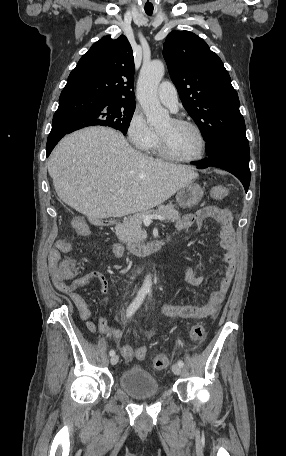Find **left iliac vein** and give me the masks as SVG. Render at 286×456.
Listing matches in <instances>:
<instances>
[{"label":"left iliac vein","mask_w":286,"mask_h":456,"mask_svg":"<svg viewBox=\"0 0 286 456\" xmlns=\"http://www.w3.org/2000/svg\"><path fill=\"white\" fill-rule=\"evenodd\" d=\"M172 371L175 375H180L182 372V368L178 364L172 365Z\"/></svg>","instance_id":"obj_1"}]
</instances>
